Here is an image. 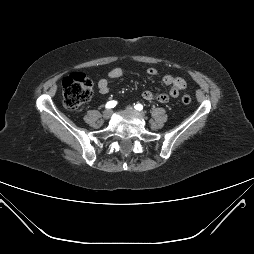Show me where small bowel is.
Segmentation results:
<instances>
[{"label":"small bowel","instance_id":"obj_1","mask_svg":"<svg viewBox=\"0 0 254 254\" xmlns=\"http://www.w3.org/2000/svg\"><path fill=\"white\" fill-rule=\"evenodd\" d=\"M147 75L149 76H156L157 70L155 68H148L146 70ZM123 75V71L121 68L115 67L112 68L108 74L107 78H101L98 80L97 87L98 91L101 94L109 93V79H117ZM163 82L167 86H169V90L164 93H159L154 95L151 91L145 90L142 92L141 96L144 100L151 101L157 100L160 103H167L170 99L176 98L180 91H183L187 87L186 81L182 77L173 76V75H165L163 76Z\"/></svg>","mask_w":254,"mask_h":254}]
</instances>
